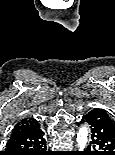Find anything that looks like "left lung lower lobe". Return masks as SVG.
Returning a JSON list of instances; mask_svg holds the SVG:
<instances>
[{"label":"left lung lower lobe","instance_id":"obj_1","mask_svg":"<svg viewBox=\"0 0 115 155\" xmlns=\"http://www.w3.org/2000/svg\"><path fill=\"white\" fill-rule=\"evenodd\" d=\"M82 122L88 124L92 141L79 155H115V122L110 116L103 109L94 108Z\"/></svg>","mask_w":115,"mask_h":155}]
</instances>
